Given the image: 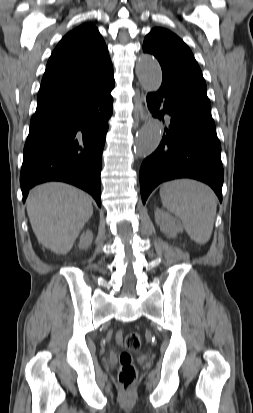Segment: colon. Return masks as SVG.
Returning <instances> with one entry per match:
<instances>
[{"instance_id":"obj_1","label":"colon","mask_w":253,"mask_h":413,"mask_svg":"<svg viewBox=\"0 0 253 413\" xmlns=\"http://www.w3.org/2000/svg\"><path fill=\"white\" fill-rule=\"evenodd\" d=\"M124 345L128 350H136L141 345L137 332H129L124 338ZM137 379V369L129 352L124 351L119 357L118 382L125 394H130Z\"/></svg>"}]
</instances>
